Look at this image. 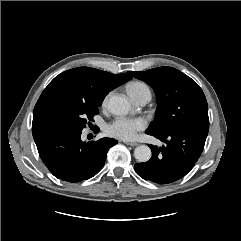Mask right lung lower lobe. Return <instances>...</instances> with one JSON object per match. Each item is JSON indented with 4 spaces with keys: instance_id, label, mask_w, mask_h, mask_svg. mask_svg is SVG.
<instances>
[{
    "instance_id": "right-lung-lower-lobe-1",
    "label": "right lung lower lobe",
    "mask_w": 241,
    "mask_h": 241,
    "mask_svg": "<svg viewBox=\"0 0 241 241\" xmlns=\"http://www.w3.org/2000/svg\"><path fill=\"white\" fill-rule=\"evenodd\" d=\"M82 129L52 127L33 132L39 155L58 179L80 182L96 175L103 167L108 150L117 144L111 138L84 143Z\"/></svg>"
}]
</instances>
